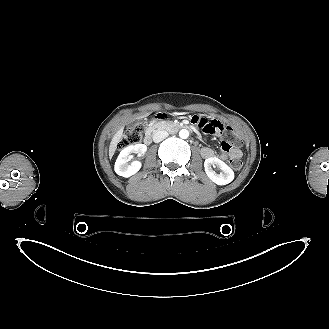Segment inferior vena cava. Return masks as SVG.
Instances as JSON below:
<instances>
[{
	"instance_id": "1",
	"label": "inferior vena cava",
	"mask_w": 329,
	"mask_h": 329,
	"mask_svg": "<svg viewBox=\"0 0 329 329\" xmlns=\"http://www.w3.org/2000/svg\"><path fill=\"white\" fill-rule=\"evenodd\" d=\"M169 133L167 131H156L153 135V141L159 143L168 137Z\"/></svg>"
}]
</instances>
